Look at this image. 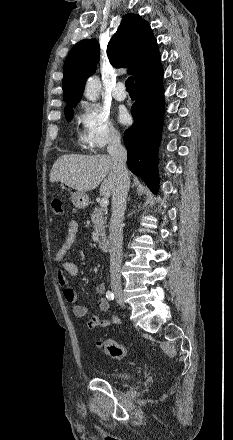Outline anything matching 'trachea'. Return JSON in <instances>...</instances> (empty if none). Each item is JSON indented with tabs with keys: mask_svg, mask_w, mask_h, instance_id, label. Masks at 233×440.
Masks as SVG:
<instances>
[{
	"mask_svg": "<svg viewBox=\"0 0 233 440\" xmlns=\"http://www.w3.org/2000/svg\"><path fill=\"white\" fill-rule=\"evenodd\" d=\"M125 86H126L127 91H129V92H134V78H133V76H130V77L126 80V82H125Z\"/></svg>",
	"mask_w": 233,
	"mask_h": 440,
	"instance_id": "1",
	"label": "trachea"
}]
</instances>
